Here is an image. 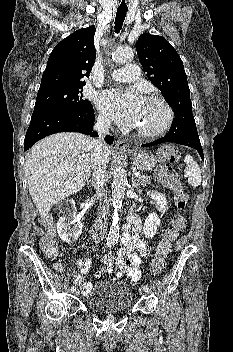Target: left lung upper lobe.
<instances>
[{
	"label": "left lung upper lobe",
	"instance_id": "1",
	"mask_svg": "<svg viewBox=\"0 0 233 352\" xmlns=\"http://www.w3.org/2000/svg\"><path fill=\"white\" fill-rule=\"evenodd\" d=\"M136 50L146 76L174 111L169 132L178 135L197 132L186 73L176 50L164 37L148 33L140 35Z\"/></svg>",
	"mask_w": 233,
	"mask_h": 352
}]
</instances>
